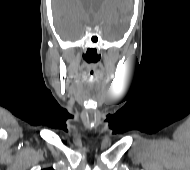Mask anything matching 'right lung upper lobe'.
<instances>
[{"instance_id":"cb5924a9","label":"right lung upper lobe","mask_w":190,"mask_h":170,"mask_svg":"<svg viewBox=\"0 0 190 170\" xmlns=\"http://www.w3.org/2000/svg\"><path fill=\"white\" fill-rule=\"evenodd\" d=\"M43 170H53V169H51V168H47V169H43Z\"/></svg>"}]
</instances>
